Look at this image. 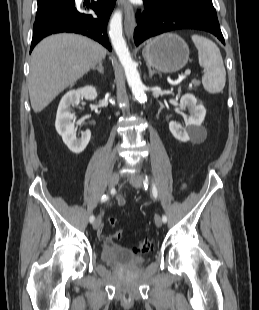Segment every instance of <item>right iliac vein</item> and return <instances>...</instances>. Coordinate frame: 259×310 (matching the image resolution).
<instances>
[{"label": "right iliac vein", "mask_w": 259, "mask_h": 310, "mask_svg": "<svg viewBox=\"0 0 259 310\" xmlns=\"http://www.w3.org/2000/svg\"><path fill=\"white\" fill-rule=\"evenodd\" d=\"M119 181V175L117 173L112 174L111 177L109 178L108 186L110 189L114 188ZM101 224V217H97V219L93 223V229L96 230Z\"/></svg>", "instance_id": "1"}]
</instances>
